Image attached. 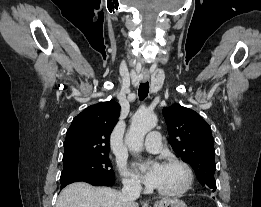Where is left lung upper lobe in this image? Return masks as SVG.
<instances>
[{"label":"left lung upper lobe","mask_w":261,"mask_h":207,"mask_svg":"<svg viewBox=\"0 0 261 207\" xmlns=\"http://www.w3.org/2000/svg\"><path fill=\"white\" fill-rule=\"evenodd\" d=\"M163 115L173 150L191 165L199 183L214 192L216 165L210 126L198 113L179 104L163 108Z\"/></svg>","instance_id":"5c2ea615"}]
</instances>
